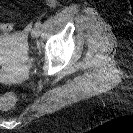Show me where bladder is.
<instances>
[{"mask_svg": "<svg viewBox=\"0 0 133 133\" xmlns=\"http://www.w3.org/2000/svg\"><path fill=\"white\" fill-rule=\"evenodd\" d=\"M18 61L17 54L11 50L10 52L0 50V65L12 64Z\"/></svg>", "mask_w": 133, "mask_h": 133, "instance_id": "1", "label": "bladder"}]
</instances>
